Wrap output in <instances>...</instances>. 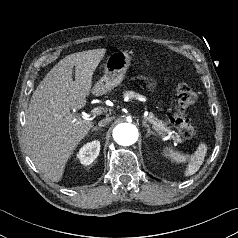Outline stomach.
<instances>
[{"mask_svg":"<svg viewBox=\"0 0 238 238\" xmlns=\"http://www.w3.org/2000/svg\"><path fill=\"white\" fill-rule=\"evenodd\" d=\"M131 65V56L125 51L113 52L105 63V74L94 85L95 95H103L120 85ZM155 84L151 83L149 89L154 91Z\"/></svg>","mask_w":238,"mask_h":238,"instance_id":"stomach-1","label":"stomach"}]
</instances>
